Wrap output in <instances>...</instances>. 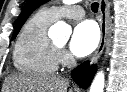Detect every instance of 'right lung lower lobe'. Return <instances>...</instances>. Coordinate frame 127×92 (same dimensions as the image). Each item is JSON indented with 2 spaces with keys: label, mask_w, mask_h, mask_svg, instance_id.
<instances>
[{
  "label": "right lung lower lobe",
  "mask_w": 127,
  "mask_h": 92,
  "mask_svg": "<svg viewBox=\"0 0 127 92\" xmlns=\"http://www.w3.org/2000/svg\"><path fill=\"white\" fill-rule=\"evenodd\" d=\"M94 74L95 71L92 67H89L88 61L80 64L72 71V77L74 81L82 88L89 86Z\"/></svg>",
  "instance_id": "right-lung-lower-lobe-1"
}]
</instances>
